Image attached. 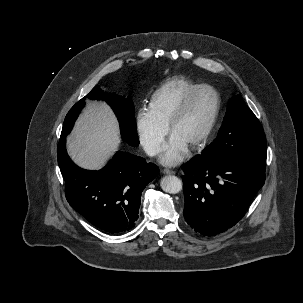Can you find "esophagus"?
I'll return each instance as SVG.
<instances>
[{
	"mask_svg": "<svg viewBox=\"0 0 303 303\" xmlns=\"http://www.w3.org/2000/svg\"><path fill=\"white\" fill-rule=\"evenodd\" d=\"M162 172L167 175L175 174V171L171 169H163Z\"/></svg>",
	"mask_w": 303,
	"mask_h": 303,
	"instance_id": "1",
	"label": "esophagus"
}]
</instances>
